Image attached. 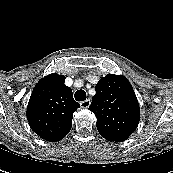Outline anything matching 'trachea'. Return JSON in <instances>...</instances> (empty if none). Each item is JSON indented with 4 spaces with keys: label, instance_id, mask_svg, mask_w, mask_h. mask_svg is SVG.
<instances>
[{
    "label": "trachea",
    "instance_id": "obj_1",
    "mask_svg": "<svg viewBox=\"0 0 173 173\" xmlns=\"http://www.w3.org/2000/svg\"><path fill=\"white\" fill-rule=\"evenodd\" d=\"M74 97H75L76 101L80 102V101H85L87 95H86V92L81 89V90H78V91L75 92Z\"/></svg>",
    "mask_w": 173,
    "mask_h": 173
}]
</instances>
